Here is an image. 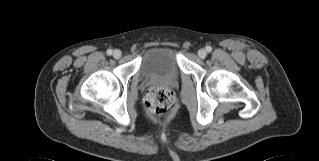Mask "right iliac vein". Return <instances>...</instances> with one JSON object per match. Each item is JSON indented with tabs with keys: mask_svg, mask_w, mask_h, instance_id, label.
Listing matches in <instances>:
<instances>
[{
	"mask_svg": "<svg viewBox=\"0 0 319 161\" xmlns=\"http://www.w3.org/2000/svg\"><path fill=\"white\" fill-rule=\"evenodd\" d=\"M121 55H122V53H121L120 50H115V51L113 52V57H114L115 59H119V58L121 57Z\"/></svg>",
	"mask_w": 319,
	"mask_h": 161,
	"instance_id": "1",
	"label": "right iliac vein"
}]
</instances>
